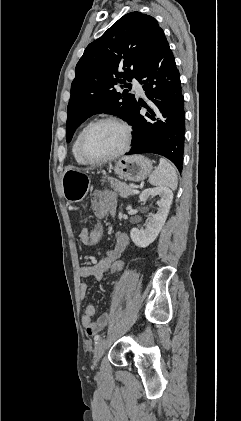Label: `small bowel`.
<instances>
[{
  "mask_svg": "<svg viewBox=\"0 0 241 421\" xmlns=\"http://www.w3.org/2000/svg\"><path fill=\"white\" fill-rule=\"evenodd\" d=\"M116 194L111 191H98L92 195L91 202L93 206L94 215L97 218L114 214L116 208ZM89 230L82 228L79 232V240L86 244ZM129 245V237L126 233H118L113 248L108 251L107 255L100 261L91 265H86L81 268L80 275L84 279L100 280L108 271L113 261L119 259L125 252ZM87 284L82 282L79 286V294L82 298L87 293ZM95 315V308L88 305L82 315V324L88 336H94L108 323V314H102L97 321L93 322L92 318Z\"/></svg>",
  "mask_w": 241,
  "mask_h": 421,
  "instance_id": "c3829d8e",
  "label": "small bowel"
}]
</instances>
